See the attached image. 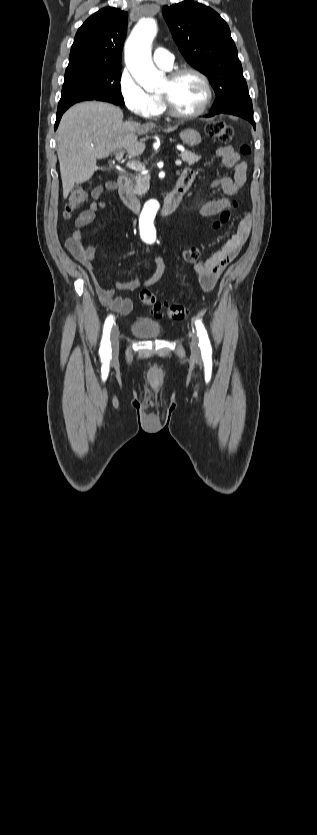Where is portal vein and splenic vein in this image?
<instances>
[{
  "label": "portal vein and splenic vein",
  "mask_w": 317,
  "mask_h": 835,
  "mask_svg": "<svg viewBox=\"0 0 317 835\" xmlns=\"http://www.w3.org/2000/svg\"><path fill=\"white\" fill-rule=\"evenodd\" d=\"M123 155H124V151L117 152L116 157H115L116 160H121L123 158ZM175 164H176V166H181L182 162L180 160H176ZM127 166L131 169H134V170L146 172L145 165L140 163L139 161H135V160L130 161V162L127 163ZM178 173H180V172L178 171Z\"/></svg>",
  "instance_id": "portal-vein-and-splenic-vein-1"
}]
</instances>
